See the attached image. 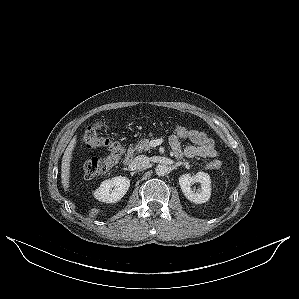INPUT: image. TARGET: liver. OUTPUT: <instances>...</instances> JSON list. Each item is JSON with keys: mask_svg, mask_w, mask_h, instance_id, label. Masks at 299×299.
<instances>
[{"mask_svg": "<svg viewBox=\"0 0 299 299\" xmlns=\"http://www.w3.org/2000/svg\"><path fill=\"white\" fill-rule=\"evenodd\" d=\"M77 143V137L75 136L70 143L68 144L64 155L62 157V164H61V183L65 191L69 190L70 184V166L72 161V154L73 150Z\"/></svg>", "mask_w": 299, "mask_h": 299, "instance_id": "obj_1", "label": "liver"}]
</instances>
